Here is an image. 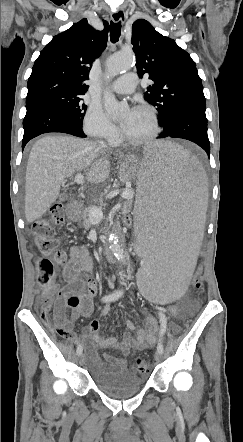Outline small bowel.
Segmentation results:
<instances>
[{
  "label": "small bowel",
  "instance_id": "c3829d8e",
  "mask_svg": "<svg viewBox=\"0 0 243 442\" xmlns=\"http://www.w3.org/2000/svg\"><path fill=\"white\" fill-rule=\"evenodd\" d=\"M94 264L88 249L82 245H75L70 249V259L63 268V277L66 285L58 292L55 301V310L63 311L70 309L69 317L66 316L70 335L74 323L81 317H90L93 314V299L97 293L96 282L92 277ZM104 314L109 312V306L104 307ZM173 316L178 315L176 308H171ZM145 327L137 329L136 336L129 331L135 330L136 325L130 321H125V326L129 330L124 333L122 340L111 336L104 338L100 335V322L93 319L90 322L91 333L89 356L93 361H98L97 350L114 349L121 352L122 356L106 355L107 360L112 361L118 367L127 366L126 356L131 352L140 351L154 345L156 341L157 324L151 318L144 319Z\"/></svg>",
  "mask_w": 243,
  "mask_h": 442
}]
</instances>
